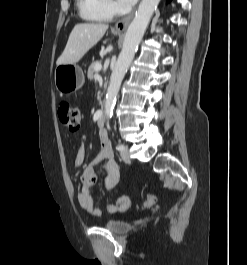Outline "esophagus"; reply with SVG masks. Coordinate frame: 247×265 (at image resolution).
Wrapping results in <instances>:
<instances>
[{
  "mask_svg": "<svg viewBox=\"0 0 247 265\" xmlns=\"http://www.w3.org/2000/svg\"><path fill=\"white\" fill-rule=\"evenodd\" d=\"M134 13H135V9L130 14H128L127 16H125L124 18L119 20L115 24V29L119 32H124L127 29L128 25L130 24V22L134 16Z\"/></svg>",
  "mask_w": 247,
  "mask_h": 265,
  "instance_id": "esophagus-1",
  "label": "esophagus"
}]
</instances>
